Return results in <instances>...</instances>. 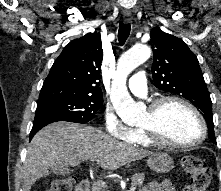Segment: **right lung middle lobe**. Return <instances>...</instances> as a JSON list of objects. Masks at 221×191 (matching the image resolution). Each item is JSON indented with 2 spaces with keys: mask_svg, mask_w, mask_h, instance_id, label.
Instances as JSON below:
<instances>
[{
  "mask_svg": "<svg viewBox=\"0 0 221 191\" xmlns=\"http://www.w3.org/2000/svg\"><path fill=\"white\" fill-rule=\"evenodd\" d=\"M103 105V98L77 97L38 101L36 110H47L61 121L87 123Z\"/></svg>",
  "mask_w": 221,
  "mask_h": 191,
  "instance_id": "1",
  "label": "right lung middle lobe"
}]
</instances>
